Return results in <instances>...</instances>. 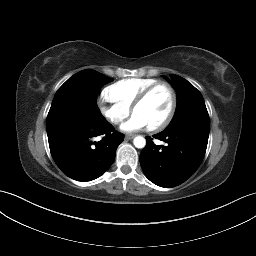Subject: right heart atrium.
Returning a JSON list of instances; mask_svg holds the SVG:
<instances>
[{
    "label": "right heart atrium",
    "mask_w": 256,
    "mask_h": 256,
    "mask_svg": "<svg viewBox=\"0 0 256 256\" xmlns=\"http://www.w3.org/2000/svg\"><path fill=\"white\" fill-rule=\"evenodd\" d=\"M99 109L102 115L112 124L118 125L130 114V108L111 99L106 92L99 99Z\"/></svg>",
    "instance_id": "right-heart-atrium-1"
}]
</instances>
